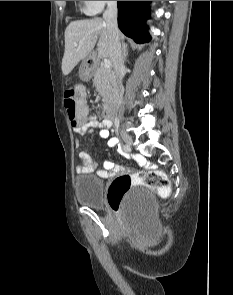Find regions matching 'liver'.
I'll use <instances>...</instances> for the list:
<instances>
[{
    "mask_svg": "<svg viewBox=\"0 0 233 295\" xmlns=\"http://www.w3.org/2000/svg\"><path fill=\"white\" fill-rule=\"evenodd\" d=\"M120 39L124 35L119 33ZM99 38V40H98ZM98 40V58H110L109 30L102 18L71 22L65 30V51L62 72L68 75L74 67L93 50ZM77 44V46H75ZM123 45H125L123 43Z\"/></svg>",
    "mask_w": 233,
    "mask_h": 295,
    "instance_id": "liver-1",
    "label": "liver"
}]
</instances>
